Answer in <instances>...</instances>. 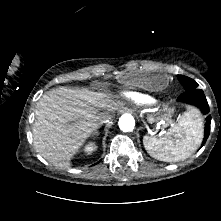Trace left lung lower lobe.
<instances>
[{
	"label": "left lung lower lobe",
	"instance_id": "obj_1",
	"mask_svg": "<svg viewBox=\"0 0 221 221\" xmlns=\"http://www.w3.org/2000/svg\"><path fill=\"white\" fill-rule=\"evenodd\" d=\"M179 101L191 104L196 106L201 110V112L206 115V123H205V134L201 147L205 144L209 133H210V123L211 117L208 115L209 113V105L207 99L204 95L203 90L201 89H193V90H185L179 97Z\"/></svg>",
	"mask_w": 221,
	"mask_h": 221
}]
</instances>
